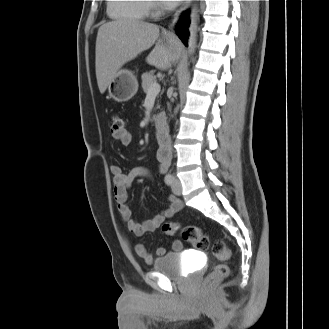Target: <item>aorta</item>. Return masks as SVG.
I'll return each instance as SVG.
<instances>
[{"label":"aorta","instance_id":"obj_1","mask_svg":"<svg viewBox=\"0 0 329 329\" xmlns=\"http://www.w3.org/2000/svg\"><path fill=\"white\" fill-rule=\"evenodd\" d=\"M197 1V0H195ZM199 10L196 4L193 5L191 15H190V26H189V39H188V55L191 56L196 48L197 42V31H198V19Z\"/></svg>","mask_w":329,"mask_h":329}]
</instances>
